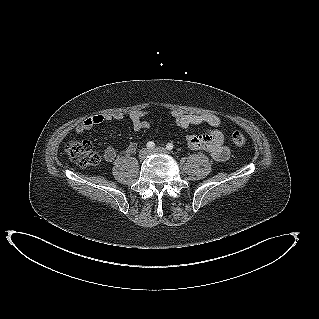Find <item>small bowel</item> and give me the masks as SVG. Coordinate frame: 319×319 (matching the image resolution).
Listing matches in <instances>:
<instances>
[{"mask_svg":"<svg viewBox=\"0 0 319 319\" xmlns=\"http://www.w3.org/2000/svg\"><path fill=\"white\" fill-rule=\"evenodd\" d=\"M149 112L142 110L132 111L129 115L133 128L137 131L147 129L150 127V122L146 120L149 116ZM167 115L171 117L175 124L183 129L187 130L191 126L207 124L210 129L199 134H188L186 136V143L192 150H204L210 154V156L219 162L225 161L230 156V148L225 143L224 133L220 129L221 118L216 114H192L184 113L180 110H171L167 112ZM123 118L122 113L113 114H98L91 116L84 120L81 124L76 126L75 132L77 135L91 130L94 126L103 124L105 122L113 120H121ZM137 149L135 142H130L122 150H118L115 147H107L101 159L106 162H112L120 155H132Z\"/></svg>","mask_w":319,"mask_h":319,"instance_id":"c3829d8e","label":"small bowel"}]
</instances>
